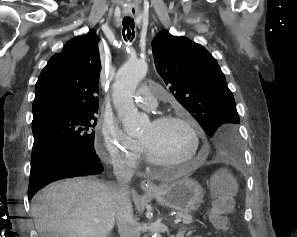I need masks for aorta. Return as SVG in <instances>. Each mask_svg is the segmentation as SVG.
Wrapping results in <instances>:
<instances>
[{
  "label": "aorta",
  "instance_id": "1",
  "mask_svg": "<svg viewBox=\"0 0 297 237\" xmlns=\"http://www.w3.org/2000/svg\"><path fill=\"white\" fill-rule=\"evenodd\" d=\"M147 63L142 59L127 61L117 72L113 85L115 108L120 117L124 131L129 136H137L148 121L145 115L138 112L134 105V92L140 81L146 76ZM152 237H161L157 231Z\"/></svg>",
  "mask_w": 297,
  "mask_h": 237
}]
</instances>
